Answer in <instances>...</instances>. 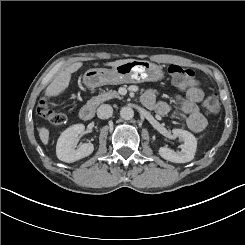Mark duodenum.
<instances>
[{"label": "duodenum", "instance_id": "obj_1", "mask_svg": "<svg viewBox=\"0 0 245 245\" xmlns=\"http://www.w3.org/2000/svg\"><path fill=\"white\" fill-rule=\"evenodd\" d=\"M94 114L95 108L92 104H86L80 110V117L85 121L91 120Z\"/></svg>", "mask_w": 245, "mask_h": 245}]
</instances>
